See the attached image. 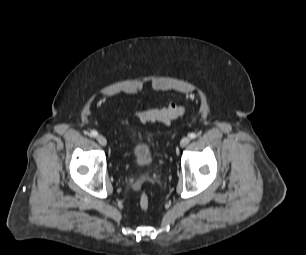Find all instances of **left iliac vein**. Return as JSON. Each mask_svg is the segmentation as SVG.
I'll use <instances>...</instances> for the list:
<instances>
[{
	"mask_svg": "<svg viewBox=\"0 0 306 255\" xmlns=\"http://www.w3.org/2000/svg\"><path fill=\"white\" fill-rule=\"evenodd\" d=\"M190 138L189 137H183L180 141V146L185 147L189 144Z\"/></svg>",
	"mask_w": 306,
	"mask_h": 255,
	"instance_id": "1",
	"label": "left iliac vein"
}]
</instances>
